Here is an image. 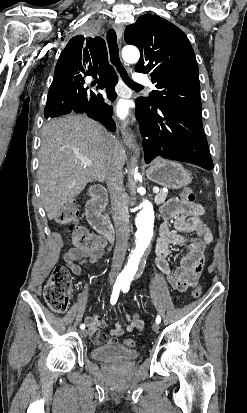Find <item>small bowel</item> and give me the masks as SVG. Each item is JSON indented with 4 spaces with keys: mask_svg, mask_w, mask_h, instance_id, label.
I'll list each match as a JSON object with an SVG mask.
<instances>
[{
    "mask_svg": "<svg viewBox=\"0 0 247 413\" xmlns=\"http://www.w3.org/2000/svg\"><path fill=\"white\" fill-rule=\"evenodd\" d=\"M203 207L197 203H176L171 201L163 207L162 215L165 219L160 227L159 237L156 242V267L164 273L169 285L175 291H183L188 286L192 291L199 287L202 276L204 255L207 244L212 240V234L206 223L202 219ZM173 226L174 230L171 229ZM186 233H194L193 237H188ZM210 238V240H209ZM104 245V244H103ZM103 245L95 249H74L64 256V261L70 271L78 276L82 272L85 263H100L103 257ZM187 246V253L181 258L179 266L172 272L168 257L170 255L169 246ZM91 317L85 319L87 331L93 336L96 343L105 341L106 332H97V325L103 326L104 321L90 313ZM128 324L123 326L119 322L115 323L110 332V340L107 342L109 349H116L118 342L116 339L125 332L142 330L144 321L139 314H126Z\"/></svg>",
    "mask_w": 247,
    "mask_h": 413,
    "instance_id": "small-bowel-1",
    "label": "small bowel"
}]
</instances>
